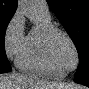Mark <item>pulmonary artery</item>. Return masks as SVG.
<instances>
[{
    "instance_id": "1",
    "label": "pulmonary artery",
    "mask_w": 89,
    "mask_h": 89,
    "mask_svg": "<svg viewBox=\"0 0 89 89\" xmlns=\"http://www.w3.org/2000/svg\"><path fill=\"white\" fill-rule=\"evenodd\" d=\"M34 8H35V11L41 15H44V16L50 15L48 5H47L46 1H44V0H35Z\"/></svg>"
}]
</instances>
